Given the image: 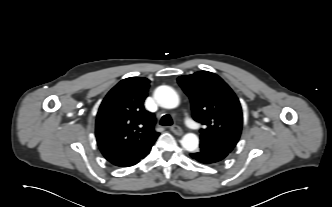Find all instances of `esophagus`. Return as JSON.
<instances>
[{
  "mask_svg": "<svg viewBox=\"0 0 332 207\" xmlns=\"http://www.w3.org/2000/svg\"><path fill=\"white\" fill-rule=\"evenodd\" d=\"M171 131H172L174 134L178 135V136H181V135L183 134V130H182L181 127L178 126V125H173V126L171 127Z\"/></svg>",
  "mask_w": 332,
  "mask_h": 207,
  "instance_id": "esophagus-1",
  "label": "esophagus"
}]
</instances>
